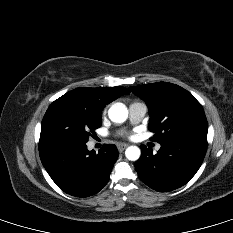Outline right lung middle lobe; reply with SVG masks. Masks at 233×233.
<instances>
[{
  "label": "right lung middle lobe",
  "instance_id": "1",
  "mask_svg": "<svg viewBox=\"0 0 233 233\" xmlns=\"http://www.w3.org/2000/svg\"><path fill=\"white\" fill-rule=\"evenodd\" d=\"M101 126V112L94 111L64 94L51 103L41 125L40 140L66 139L87 142Z\"/></svg>",
  "mask_w": 233,
  "mask_h": 233
}]
</instances>
